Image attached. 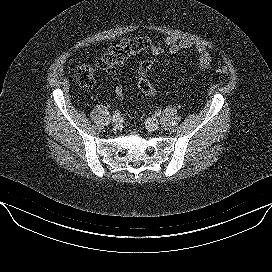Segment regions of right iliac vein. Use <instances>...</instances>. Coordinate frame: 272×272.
Segmentation results:
<instances>
[{
    "instance_id": "63e3f726",
    "label": "right iliac vein",
    "mask_w": 272,
    "mask_h": 272,
    "mask_svg": "<svg viewBox=\"0 0 272 272\" xmlns=\"http://www.w3.org/2000/svg\"><path fill=\"white\" fill-rule=\"evenodd\" d=\"M112 122L118 124L120 122V117H112Z\"/></svg>"
}]
</instances>
